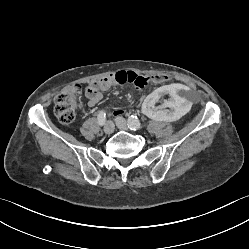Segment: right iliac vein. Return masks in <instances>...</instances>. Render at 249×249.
Listing matches in <instances>:
<instances>
[{"mask_svg":"<svg viewBox=\"0 0 249 249\" xmlns=\"http://www.w3.org/2000/svg\"><path fill=\"white\" fill-rule=\"evenodd\" d=\"M114 131V123L112 121H107V123L104 126V133L105 134H112Z\"/></svg>","mask_w":249,"mask_h":249,"instance_id":"obj_1","label":"right iliac vein"}]
</instances>
